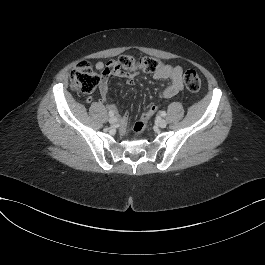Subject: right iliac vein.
Listing matches in <instances>:
<instances>
[{
    "label": "right iliac vein",
    "mask_w": 265,
    "mask_h": 265,
    "mask_svg": "<svg viewBox=\"0 0 265 265\" xmlns=\"http://www.w3.org/2000/svg\"><path fill=\"white\" fill-rule=\"evenodd\" d=\"M109 122L111 123V124H114V123H116L117 122V118H116V116H110V118H109Z\"/></svg>",
    "instance_id": "right-iliac-vein-1"
}]
</instances>
